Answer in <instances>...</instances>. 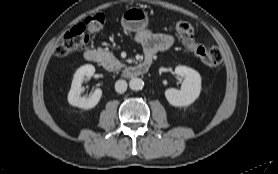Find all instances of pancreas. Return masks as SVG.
Instances as JSON below:
<instances>
[{
  "instance_id": "pancreas-1",
  "label": "pancreas",
  "mask_w": 278,
  "mask_h": 174,
  "mask_svg": "<svg viewBox=\"0 0 278 174\" xmlns=\"http://www.w3.org/2000/svg\"><path fill=\"white\" fill-rule=\"evenodd\" d=\"M100 51V62L102 66L109 70V71H118L122 67H124V64L119 62L112 53L99 50Z\"/></svg>"
}]
</instances>
